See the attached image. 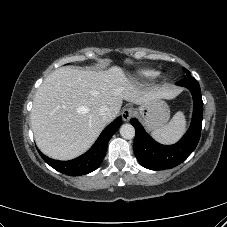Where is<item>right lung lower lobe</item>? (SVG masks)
Masks as SVG:
<instances>
[{
  "mask_svg": "<svg viewBox=\"0 0 227 227\" xmlns=\"http://www.w3.org/2000/svg\"><path fill=\"white\" fill-rule=\"evenodd\" d=\"M121 123V117H118L116 120H114L103 130L95 144L85 154L76 159L70 161H57L48 158L39 150L38 152L47 164L63 174L70 176L88 174L97 169L101 164L106 154L108 141L121 126Z\"/></svg>",
  "mask_w": 227,
  "mask_h": 227,
  "instance_id": "obj_1",
  "label": "right lung lower lobe"
}]
</instances>
